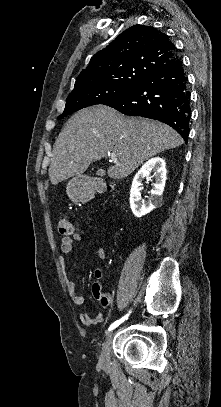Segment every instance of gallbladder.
<instances>
[{
    "label": "gallbladder",
    "instance_id": "bac80fb5",
    "mask_svg": "<svg viewBox=\"0 0 221 407\" xmlns=\"http://www.w3.org/2000/svg\"><path fill=\"white\" fill-rule=\"evenodd\" d=\"M104 170L103 169H98L97 170V175H99V176H103L104 175Z\"/></svg>",
    "mask_w": 221,
    "mask_h": 407
}]
</instances>
